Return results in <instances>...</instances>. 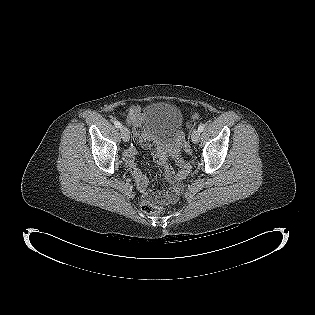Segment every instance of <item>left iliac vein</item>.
<instances>
[{
    "label": "left iliac vein",
    "instance_id": "obj_1",
    "mask_svg": "<svg viewBox=\"0 0 315 315\" xmlns=\"http://www.w3.org/2000/svg\"><path fill=\"white\" fill-rule=\"evenodd\" d=\"M200 131L199 130H194L191 134V140L193 143H198L200 140Z\"/></svg>",
    "mask_w": 315,
    "mask_h": 315
}]
</instances>
